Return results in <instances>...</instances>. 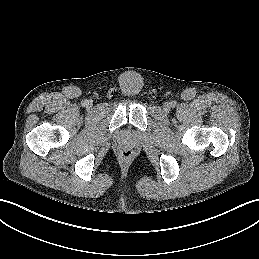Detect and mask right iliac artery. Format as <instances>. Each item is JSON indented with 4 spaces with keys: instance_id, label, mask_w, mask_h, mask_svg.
Listing matches in <instances>:
<instances>
[{
    "instance_id": "82829eb1",
    "label": "right iliac artery",
    "mask_w": 259,
    "mask_h": 259,
    "mask_svg": "<svg viewBox=\"0 0 259 259\" xmlns=\"http://www.w3.org/2000/svg\"><path fill=\"white\" fill-rule=\"evenodd\" d=\"M87 103H88L87 100H83V101L81 102L82 106H86Z\"/></svg>"
}]
</instances>
